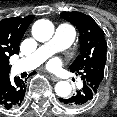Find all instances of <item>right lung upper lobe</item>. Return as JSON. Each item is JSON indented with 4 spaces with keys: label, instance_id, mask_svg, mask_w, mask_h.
I'll list each match as a JSON object with an SVG mask.
<instances>
[{
    "label": "right lung upper lobe",
    "instance_id": "1",
    "mask_svg": "<svg viewBox=\"0 0 117 117\" xmlns=\"http://www.w3.org/2000/svg\"><path fill=\"white\" fill-rule=\"evenodd\" d=\"M34 15L0 21V86L9 79V58L19 53V44Z\"/></svg>",
    "mask_w": 117,
    "mask_h": 117
}]
</instances>
